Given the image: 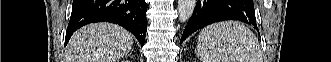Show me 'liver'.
Instances as JSON below:
<instances>
[{
    "label": "liver",
    "mask_w": 331,
    "mask_h": 62,
    "mask_svg": "<svg viewBox=\"0 0 331 62\" xmlns=\"http://www.w3.org/2000/svg\"><path fill=\"white\" fill-rule=\"evenodd\" d=\"M133 45V35L111 23H95L80 28L72 36L66 62H116Z\"/></svg>",
    "instance_id": "6515ba94"
}]
</instances>
